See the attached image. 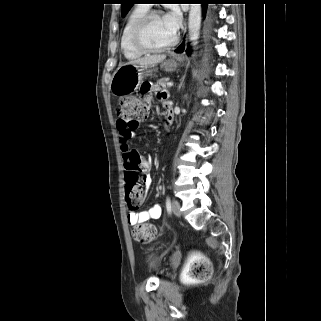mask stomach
<instances>
[{
    "label": "stomach",
    "instance_id": "1",
    "mask_svg": "<svg viewBox=\"0 0 321 321\" xmlns=\"http://www.w3.org/2000/svg\"><path fill=\"white\" fill-rule=\"evenodd\" d=\"M180 57L171 56L162 67L166 72H174L179 67ZM148 66L125 64L117 68L113 74L110 90L114 95L124 96L136 90L144 76L151 75Z\"/></svg>",
    "mask_w": 321,
    "mask_h": 321
}]
</instances>
